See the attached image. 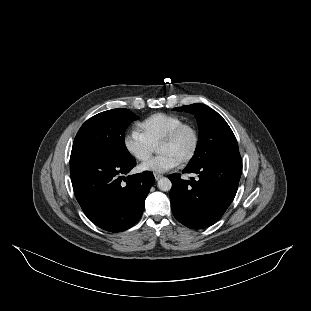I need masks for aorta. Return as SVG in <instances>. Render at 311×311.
Here are the masks:
<instances>
[{
    "label": "aorta",
    "mask_w": 311,
    "mask_h": 311,
    "mask_svg": "<svg viewBox=\"0 0 311 311\" xmlns=\"http://www.w3.org/2000/svg\"><path fill=\"white\" fill-rule=\"evenodd\" d=\"M157 186L162 191H169L172 187V182L168 178H161L157 182Z\"/></svg>",
    "instance_id": "aorta-1"
}]
</instances>
